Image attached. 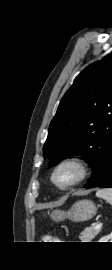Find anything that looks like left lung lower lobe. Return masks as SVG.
<instances>
[{
	"mask_svg": "<svg viewBox=\"0 0 112 270\" xmlns=\"http://www.w3.org/2000/svg\"><path fill=\"white\" fill-rule=\"evenodd\" d=\"M85 188H112V147L110 148L99 173L84 186Z\"/></svg>",
	"mask_w": 112,
	"mask_h": 270,
	"instance_id": "1",
	"label": "left lung lower lobe"
}]
</instances>
